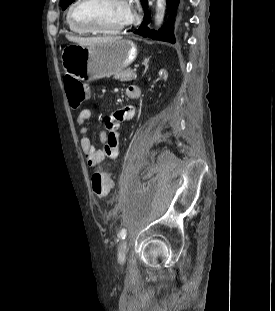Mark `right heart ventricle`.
Listing matches in <instances>:
<instances>
[{"mask_svg":"<svg viewBox=\"0 0 275 311\" xmlns=\"http://www.w3.org/2000/svg\"><path fill=\"white\" fill-rule=\"evenodd\" d=\"M67 25H68L70 31H72L73 33H76V34H87L88 33L85 30L71 24L69 19H68V15H67Z\"/></svg>","mask_w":275,"mask_h":311,"instance_id":"right-heart-ventricle-1","label":"right heart ventricle"}]
</instances>
